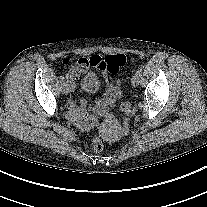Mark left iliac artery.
<instances>
[{
	"label": "left iliac artery",
	"mask_w": 207,
	"mask_h": 207,
	"mask_svg": "<svg viewBox=\"0 0 207 207\" xmlns=\"http://www.w3.org/2000/svg\"><path fill=\"white\" fill-rule=\"evenodd\" d=\"M136 74L139 75V76H141V74H142V68L138 69V70L136 71Z\"/></svg>",
	"instance_id": "obj_1"
}]
</instances>
